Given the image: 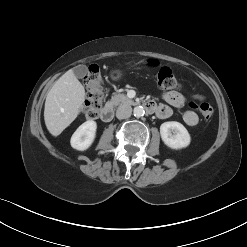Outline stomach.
Returning a JSON list of instances; mask_svg holds the SVG:
<instances>
[{
  "label": "stomach",
  "instance_id": "1",
  "mask_svg": "<svg viewBox=\"0 0 247 247\" xmlns=\"http://www.w3.org/2000/svg\"><path fill=\"white\" fill-rule=\"evenodd\" d=\"M110 76L113 80H119L122 78L123 72L120 70H114L111 72Z\"/></svg>",
  "mask_w": 247,
  "mask_h": 247
}]
</instances>
